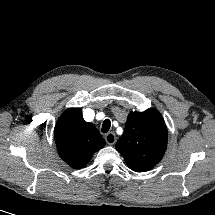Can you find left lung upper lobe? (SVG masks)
Returning <instances> with one entry per match:
<instances>
[{
	"mask_svg": "<svg viewBox=\"0 0 215 215\" xmlns=\"http://www.w3.org/2000/svg\"><path fill=\"white\" fill-rule=\"evenodd\" d=\"M166 147L167 128L156 109L129 113L116 149L130 169L136 172L152 169L162 159Z\"/></svg>",
	"mask_w": 215,
	"mask_h": 215,
	"instance_id": "5c2ea615",
	"label": "left lung upper lobe"
}]
</instances>
